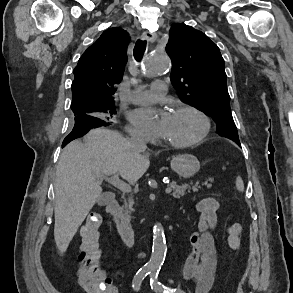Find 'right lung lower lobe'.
<instances>
[{"label":"right lung lower lobe","mask_w":293,"mask_h":293,"mask_svg":"<svg viewBox=\"0 0 293 293\" xmlns=\"http://www.w3.org/2000/svg\"><path fill=\"white\" fill-rule=\"evenodd\" d=\"M111 121H106L101 118L90 116V115H78L75 116V124L68 136L64 139L62 143V148L65 147L72 140L81 137L91 128L100 126H109Z\"/></svg>","instance_id":"1"}]
</instances>
